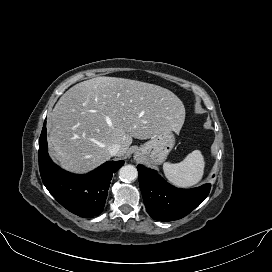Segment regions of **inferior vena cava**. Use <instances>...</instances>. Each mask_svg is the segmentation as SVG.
I'll use <instances>...</instances> for the list:
<instances>
[{
	"mask_svg": "<svg viewBox=\"0 0 272 272\" xmlns=\"http://www.w3.org/2000/svg\"><path fill=\"white\" fill-rule=\"evenodd\" d=\"M108 150H109V153L112 156H114V155H116L120 151V145L119 144H114V145L110 146L108 148Z\"/></svg>",
	"mask_w": 272,
	"mask_h": 272,
	"instance_id": "inferior-vena-cava-1",
	"label": "inferior vena cava"
}]
</instances>
